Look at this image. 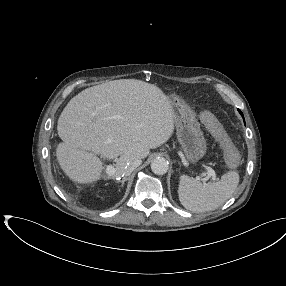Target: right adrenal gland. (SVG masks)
<instances>
[{"mask_svg": "<svg viewBox=\"0 0 286 286\" xmlns=\"http://www.w3.org/2000/svg\"><path fill=\"white\" fill-rule=\"evenodd\" d=\"M127 180V178L126 177H124L120 182H121V187H123L124 186V183H125V181Z\"/></svg>", "mask_w": 286, "mask_h": 286, "instance_id": "obj_1", "label": "right adrenal gland"}]
</instances>
